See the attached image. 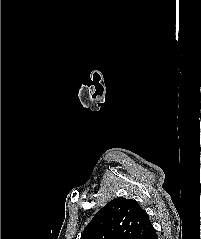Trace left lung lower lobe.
I'll return each instance as SVG.
<instances>
[{"label": "left lung lower lobe", "instance_id": "1", "mask_svg": "<svg viewBox=\"0 0 201 239\" xmlns=\"http://www.w3.org/2000/svg\"><path fill=\"white\" fill-rule=\"evenodd\" d=\"M142 239H158L156 230L154 229L152 224H151L148 232L146 233V235Z\"/></svg>", "mask_w": 201, "mask_h": 239}]
</instances>
